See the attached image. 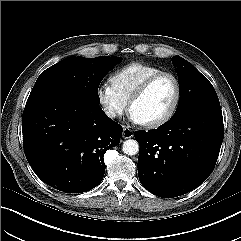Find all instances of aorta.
<instances>
[{"instance_id": "1", "label": "aorta", "mask_w": 241, "mask_h": 241, "mask_svg": "<svg viewBox=\"0 0 241 241\" xmlns=\"http://www.w3.org/2000/svg\"><path fill=\"white\" fill-rule=\"evenodd\" d=\"M122 150L129 156L136 155L139 152V144L136 140L128 139L123 142Z\"/></svg>"}]
</instances>
